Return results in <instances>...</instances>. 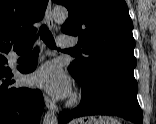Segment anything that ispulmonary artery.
<instances>
[{
  "label": "pulmonary artery",
  "mask_w": 156,
  "mask_h": 124,
  "mask_svg": "<svg viewBox=\"0 0 156 124\" xmlns=\"http://www.w3.org/2000/svg\"><path fill=\"white\" fill-rule=\"evenodd\" d=\"M75 43L74 39L68 38L66 36L58 37V45L61 47H70Z\"/></svg>",
  "instance_id": "1"
}]
</instances>
